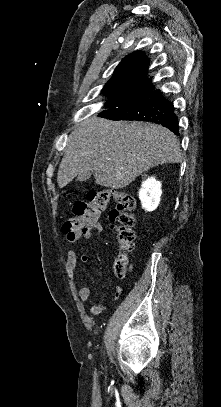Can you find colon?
I'll list each match as a JSON object with an SVG mask.
<instances>
[{
  "mask_svg": "<svg viewBox=\"0 0 221 407\" xmlns=\"http://www.w3.org/2000/svg\"><path fill=\"white\" fill-rule=\"evenodd\" d=\"M111 199L115 206L109 214L113 221L111 229L116 233L120 245V253L114 263V273L123 278L127 267L125 254L134 249L135 241V217L132 213L135 199L132 195L114 188L89 192L86 202L74 205L73 216L64 222L61 231L70 240H77L81 236L89 237L97 232L100 212L107 208Z\"/></svg>",
  "mask_w": 221,
  "mask_h": 407,
  "instance_id": "colon-1",
  "label": "colon"
}]
</instances>
